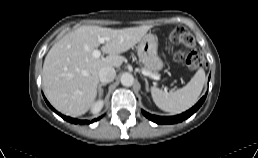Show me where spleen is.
I'll return each instance as SVG.
<instances>
[{
  "mask_svg": "<svg viewBox=\"0 0 258 158\" xmlns=\"http://www.w3.org/2000/svg\"><path fill=\"white\" fill-rule=\"evenodd\" d=\"M205 83V72L199 69L192 79L175 92L152 87L151 94L155 104L163 111L179 114L192 107L198 100Z\"/></svg>",
  "mask_w": 258,
  "mask_h": 158,
  "instance_id": "obj_1",
  "label": "spleen"
}]
</instances>
